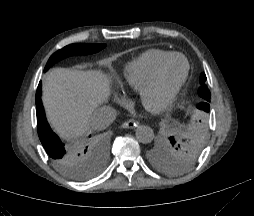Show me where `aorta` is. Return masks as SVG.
I'll return each instance as SVG.
<instances>
[{"label":"aorta","instance_id":"1","mask_svg":"<svg viewBox=\"0 0 254 216\" xmlns=\"http://www.w3.org/2000/svg\"><path fill=\"white\" fill-rule=\"evenodd\" d=\"M136 139L143 143H150L154 139V131L151 127L146 125H141L136 128Z\"/></svg>","mask_w":254,"mask_h":216}]
</instances>
